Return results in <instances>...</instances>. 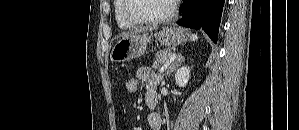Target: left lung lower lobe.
Listing matches in <instances>:
<instances>
[{
    "label": "left lung lower lobe",
    "mask_w": 299,
    "mask_h": 130,
    "mask_svg": "<svg viewBox=\"0 0 299 130\" xmlns=\"http://www.w3.org/2000/svg\"><path fill=\"white\" fill-rule=\"evenodd\" d=\"M225 0H183L179 12L182 18L178 24L193 28H202L217 43V36Z\"/></svg>",
    "instance_id": "1"
}]
</instances>
